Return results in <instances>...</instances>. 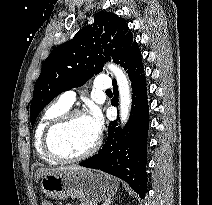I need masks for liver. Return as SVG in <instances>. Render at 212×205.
Segmentation results:
<instances>
[{
    "mask_svg": "<svg viewBox=\"0 0 212 205\" xmlns=\"http://www.w3.org/2000/svg\"><path fill=\"white\" fill-rule=\"evenodd\" d=\"M65 170H73V171H88L87 168L85 167H80V166H67V167H59V168H54V169H39L37 170L35 174V180L38 182L41 176L46 175V174H51L59 171H65Z\"/></svg>",
    "mask_w": 212,
    "mask_h": 205,
    "instance_id": "6515ba94",
    "label": "liver"
}]
</instances>
